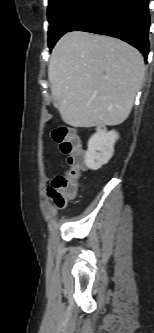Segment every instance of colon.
I'll return each mask as SVG.
<instances>
[{"label":"colon","mask_w":154,"mask_h":333,"mask_svg":"<svg viewBox=\"0 0 154 333\" xmlns=\"http://www.w3.org/2000/svg\"><path fill=\"white\" fill-rule=\"evenodd\" d=\"M52 138L60 151L68 155V168L64 174L56 176L47 189V195L59 208L65 206L78 192L79 182L84 170V155L81 141L73 128L60 125L52 130Z\"/></svg>","instance_id":"1"}]
</instances>
